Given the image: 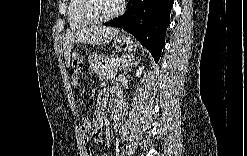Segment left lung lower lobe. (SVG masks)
<instances>
[{"label":"left lung lower lobe","instance_id":"0a47b994","mask_svg":"<svg viewBox=\"0 0 247 156\" xmlns=\"http://www.w3.org/2000/svg\"><path fill=\"white\" fill-rule=\"evenodd\" d=\"M172 6L173 0H129L127 11L104 25L131 33L158 62L165 45Z\"/></svg>","mask_w":247,"mask_h":156}]
</instances>
